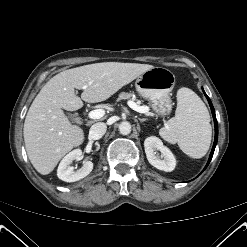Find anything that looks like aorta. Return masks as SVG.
<instances>
[{"mask_svg":"<svg viewBox=\"0 0 247 247\" xmlns=\"http://www.w3.org/2000/svg\"><path fill=\"white\" fill-rule=\"evenodd\" d=\"M119 131L123 135H127L131 132V124L128 121H123L119 125Z\"/></svg>","mask_w":247,"mask_h":247,"instance_id":"762f6f07","label":"aorta"}]
</instances>
